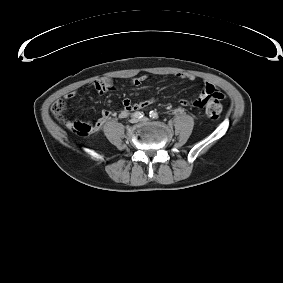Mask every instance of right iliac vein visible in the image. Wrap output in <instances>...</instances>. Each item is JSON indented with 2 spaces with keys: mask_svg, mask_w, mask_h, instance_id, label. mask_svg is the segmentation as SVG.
<instances>
[{
  "mask_svg": "<svg viewBox=\"0 0 283 283\" xmlns=\"http://www.w3.org/2000/svg\"><path fill=\"white\" fill-rule=\"evenodd\" d=\"M130 122H131V123H136V122H138V120H137L136 118H132V119L130 120Z\"/></svg>",
  "mask_w": 283,
  "mask_h": 283,
  "instance_id": "1",
  "label": "right iliac vein"
}]
</instances>
